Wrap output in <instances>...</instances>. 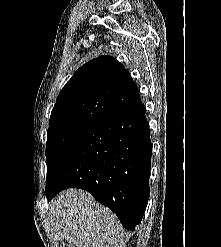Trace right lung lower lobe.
I'll return each instance as SVG.
<instances>
[{
	"instance_id": "right-lung-lower-lobe-1",
	"label": "right lung lower lobe",
	"mask_w": 221,
	"mask_h": 247,
	"mask_svg": "<svg viewBox=\"0 0 221 247\" xmlns=\"http://www.w3.org/2000/svg\"><path fill=\"white\" fill-rule=\"evenodd\" d=\"M143 104L78 136L47 176L50 201L63 189L89 191L127 230L141 223L149 199L152 145Z\"/></svg>"
}]
</instances>
